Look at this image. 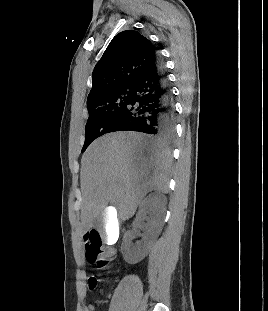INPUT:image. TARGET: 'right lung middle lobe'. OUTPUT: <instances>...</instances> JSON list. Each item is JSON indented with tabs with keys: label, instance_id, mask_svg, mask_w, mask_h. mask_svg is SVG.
<instances>
[{
	"label": "right lung middle lobe",
	"instance_id": "1",
	"mask_svg": "<svg viewBox=\"0 0 268 311\" xmlns=\"http://www.w3.org/2000/svg\"><path fill=\"white\" fill-rule=\"evenodd\" d=\"M133 94L132 87L116 90L87 106L89 118L85 127L82 152L98 137L109 132L113 123L127 107Z\"/></svg>",
	"mask_w": 268,
	"mask_h": 311
}]
</instances>
